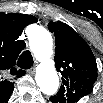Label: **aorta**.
<instances>
[{
    "label": "aorta",
    "instance_id": "762f6f07",
    "mask_svg": "<svg viewBox=\"0 0 103 103\" xmlns=\"http://www.w3.org/2000/svg\"><path fill=\"white\" fill-rule=\"evenodd\" d=\"M29 46L35 58L40 62L36 70L35 80L41 91L46 95H53L59 88V77L54 61L52 36L42 26H34L29 34Z\"/></svg>",
    "mask_w": 103,
    "mask_h": 103
}]
</instances>
